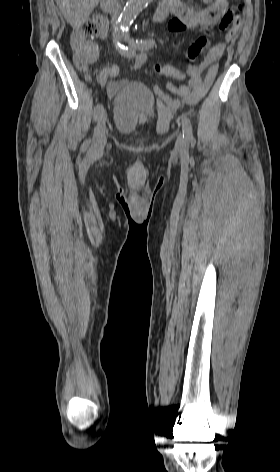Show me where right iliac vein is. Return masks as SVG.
<instances>
[{
  "mask_svg": "<svg viewBox=\"0 0 280 472\" xmlns=\"http://www.w3.org/2000/svg\"><path fill=\"white\" fill-rule=\"evenodd\" d=\"M106 132V113L103 111L98 118L97 126L95 128L92 155L98 156L103 152L107 141Z\"/></svg>",
  "mask_w": 280,
  "mask_h": 472,
  "instance_id": "1",
  "label": "right iliac vein"
}]
</instances>
